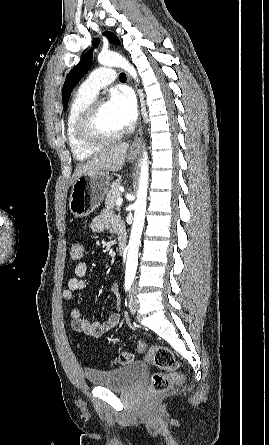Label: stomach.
I'll return each mask as SVG.
<instances>
[{"instance_id":"1","label":"stomach","mask_w":269,"mask_h":445,"mask_svg":"<svg viewBox=\"0 0 269 445\" xmlns=\"http://www.w3.org/2000/svg\"><path fill=\"white\" fill-rule=\"evenodd\" d=\"M108 172L98 171L80 176L73 184L69 208L75 217L83 218L92 213L102 202L110 186Z\"/></svg>"}]
</instances>
